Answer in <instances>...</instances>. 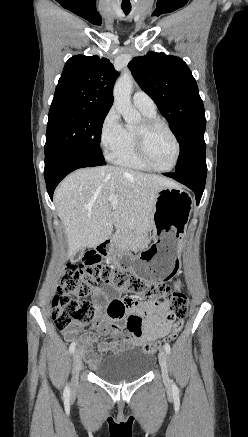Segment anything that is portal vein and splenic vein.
I'll list each match as a JSON object with an SVG mask.
<instances>
[{
  "label": "portal vein and splenic vein",
  "mask_w": 248,
  "mask_h": 437,
  "mask_svg": "<svg viewBox=\"0 0 248 437\" xmlns=\"http://www.w3.org/2000/svg\"><path fill=\"white\" fill-rule=\"evenodd\" d=\"M109 201L111 203V208L114 210L118 204V198L116 196H110Z\"/></svg>",
  "instance_id": "portal-vein-and-splenic-vein-1"
}]
</instances>
